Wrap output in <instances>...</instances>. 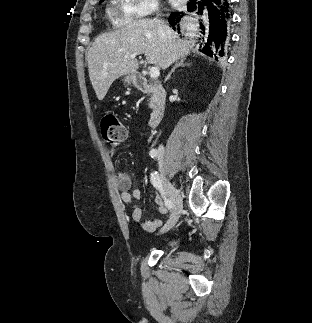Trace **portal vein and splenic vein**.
<instances>
[{"instance_id":"18ae733b","label":"portal vein and splenic vein","mask_w":312,"mask_h":323,"mask_svg":"<svg viewBox=\"0 0 312 323\" xmlns=\"http://www.w3.org/2000/svg\"><path fill=\"white\" fill-rule=\"evenodd\" d=\"M137 54H131V58H136ZM160 76L159 68H150V78H158Z\"/></svg>"}]
</instances>
